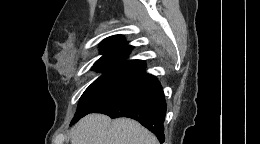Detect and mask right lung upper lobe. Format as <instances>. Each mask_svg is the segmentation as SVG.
Returning <instances> with one entry per match:
<instances>
[{
    "mask_svg": "<svg viewBox=\"0 0 260 144\" xmlns=\"http://www.w3.org/2000/svg\"><path fill=\"white\" fill-rule=\"evenodd\" d=\"M133 47L126 45L121 35H115L104 39L101 43L103 56L96 61L93 68L125 70L139 72L145 68L141 60H129L125 58L130 54Z\"/></svg>",
    "mask_w": 260,
    "mask_h": 144,
    "instance_id": "1",
    "label": "right lung upper lobe"
}]
</instances>
